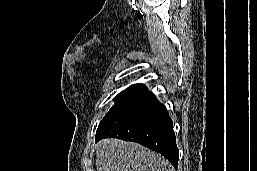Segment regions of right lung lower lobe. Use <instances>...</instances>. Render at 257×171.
<instances>
[{"instance_id":"right-lung-lower-lobe-1","label":"right lung lower lobe","mask_w":257,"mask_h":171,"mask_svg":"<svg viewBox=\"0 0 257 171\" xmlns=\"http://www.w3.org/2000/svg\"><path fill=\"white\" fill-rule=\"evenodd\" d=\"M107 137L137 142L159 152L177 169L179 151L172 120L166 107L150 91L135 98L98 127L96 141Z\"/></svg>"}]
</instances>
